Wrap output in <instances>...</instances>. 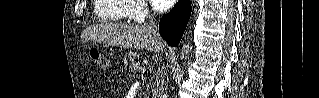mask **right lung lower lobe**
I'll list each match as a JSON object with an SVG mask.
<instances>
[{"label": "right lung lower lobe", "mask_w": 319, "mask_h": 98, "mask_svg": "<svg viewBox=\"0 0 319 98\" xmlns=\"http://www.w3.org/2000/svg\"><path fill=\"white\" fill-rule=\"evenodd\" d=\"M190 15V0H179L173 9L160 20V35L169 45L177 47Z\"/></svg>", "instance_id": "obj_1"}]
</instances>
